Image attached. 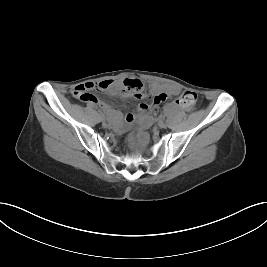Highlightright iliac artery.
I'll return each mask as SVG.
<instances>
[{
    "instance_id": "1",
    "label": "right iliac artery",
    "mask_w": 267,
    "mask_h": 267,
    "mask_svg": "<svg viewBox=\"0 0 267 267\" xmlns=\"http://www.w3.org/2000/svg\"><path fill=\"white\" fill-rule=\"evenodd\" d=\"M97 113H98L100 116H104V113H103L101 110H98Z\"/></svg>"
}]
</instances>
